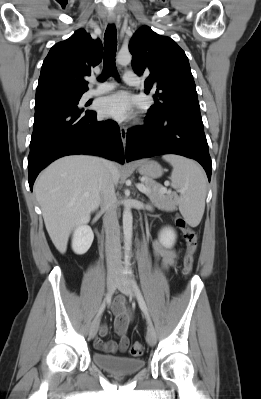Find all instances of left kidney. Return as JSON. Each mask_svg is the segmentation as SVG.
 Wrapping results in <instances>:
<instances>
[{"instance_id": "5707ae66", "label": "left kidney", "mask_w": 261, "mask_h": 399, "mask_svg": "<svg viewBox=\"0 0 261 399\" xmlns=\"http://www.w3.org/2000/svg\"><path fill=\"white\" fill-rule=\"evenodd\" d=\"M158 237L161 244L166 248L173 247L176 241V233L171 227L163 228Z\"/></svg>"}]
</instances>
